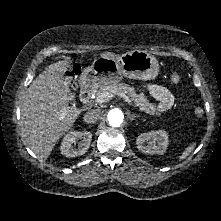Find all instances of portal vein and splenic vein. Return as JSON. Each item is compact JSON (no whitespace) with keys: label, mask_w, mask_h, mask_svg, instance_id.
I'll return each instance as SVG.
<instances>
[{"label":"portal vein and splenic vein","mask_w":221,"mask_h":221,"mask_svg":"<svg viewBox=\"0 0 221 221\" xmlns=\"http://www.w3.org/2000/svg\"><path fill=\"white\" fill-rule=\"evenodd\" d=\"M118 96L123 98L129 105H132V101L130 100V98L125 93H119ZM111 97H113V96L109 95L108 93L102 94L101 96L96 98V102L97 103H104V102L109 101V99ZM61 118H64V117H61Z\"/></svg>","instance_id":"obj_1"}]
</instances>
